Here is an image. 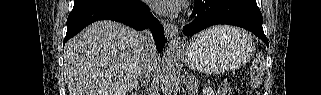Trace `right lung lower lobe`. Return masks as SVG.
Returning a JSON list of instances; mask_svg holds the SVG:
<instances>
[{"label": "right lung lower lobe", "instance_id": "1", "mask_svg": "<svg viewBox=\"0 0 321 95\" xmlns=\"http://www.w3.org/2000/svg\"><path fill=\"white\" fill-rule=\"evenodd\" d=\"M98 20H114L126 24L136 30L152 28L157 50L161 52L165 45L163 26L154 20L150 9L140 0L132 3H107L73 8L67 19L68 39L75 36L84 27Z\"/></svg>", "mask_w": 321, "mask_h": 95}]
</instances>
